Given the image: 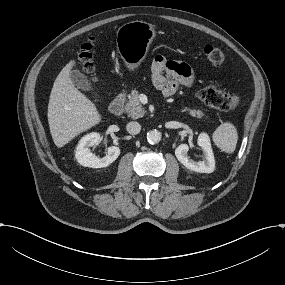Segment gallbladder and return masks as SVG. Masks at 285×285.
I'll return each mask as SVG.
<instances>
[{"instance_id":"1","label":"gallbladder","mask_w":285,"mask_h":285,"mask_svg":"<svg viewBox=\"0 0 285 285\" xmlns=\"http://www.w3.org/2000/svg\"><path fill=\"white\" fill-rule=\"evenodd\" d=\"M70 77L73 80L74 85L81 91L90 93L96 103L104 102L98 92L94 89V86L87 75L80 70H73L70 72Z\"/></svg>"}]
</instances>
